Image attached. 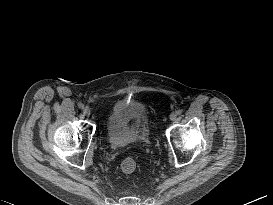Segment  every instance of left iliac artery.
Returning <instances> with one entry per match:
<instances>
[{"instance_id":"obj_1","label":"left iliac artery","mask_w":273,"mask_h":205,"mask_svg":"<svg viewBox=\"0 0 273 205\" xmlns=\"http://www.w3.org/2000/svg\"><path fill=\"white\" fill-rule=\"evenodd\" d=\"M178 115H181V113H182V110H177V112H176Z\"/></svg>"}]
</instances>
